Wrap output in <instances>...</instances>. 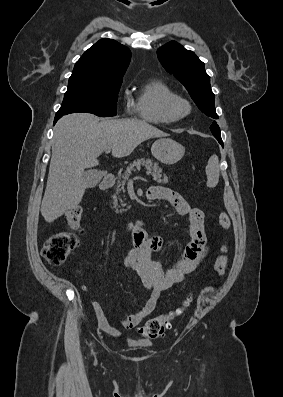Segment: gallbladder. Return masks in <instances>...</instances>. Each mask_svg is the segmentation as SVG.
Listing matches in <instances>:
<instances>
[{
	"instance_id": "bac80fb5",
	"label": "gallbladder",
	"mask_w": 283,
	"mask_h": 397,
	"mask_svg": "<svg viewBox=\"0 0 283 397\" xmlns=\"http://www.w3.org/2000/svg\"><path fill=\"white\" fill-rule=\"evenodd\" d=\"M84 176L87 180L88 187H95L101 180L102 174L97 171H88L84 173Z\"/></svg>"
}]
</instances>
